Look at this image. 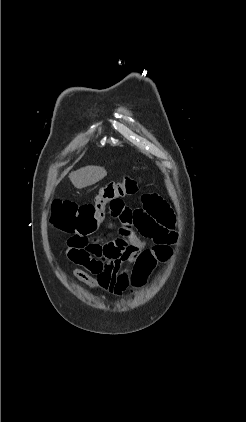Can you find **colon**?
<instances>
[{
    "mask_svg": "<svg viewBox=\"0 0 246 422\" xmlns=\"http://www.w3.org/2000/svg\"><path fill=\"white\" fill-rule=\"evenodd\" d=\"M137 179L127 176L121 181L107 183L91 202L78 204L68 200H55L51 205L50 223L70 234L91 235L97 231L111 209H120L123 198L138 191ZM170 252L160 247L141 251L133 261L131 285L142 287L158 263L165 262Z\"/></svg>",
    "mask_w": 246,
    "mask_h": 422,
    "instance_id": "obj_1",
    "label": "colon"
}]
</instances>
